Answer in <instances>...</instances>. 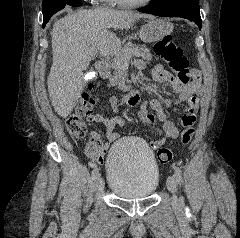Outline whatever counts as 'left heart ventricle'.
I'll use <instances>...</instances> for the list:
<instances>
[{
  "label": "left heart ventricle",
  "mask_w": 240,
  "mask_h": 238,
  "mask_svg": "<svg viewBox=\"0 0 240 238\" xmlns=\"http://www.w3.org/2000/svg\"><path fill=\"white\" fill-rule=\"evenodd\" d=\"M124 1H127V2H138V1H141V0H124Z\"/></svg>",
  "instance_id": "1"
}]
</instances>
